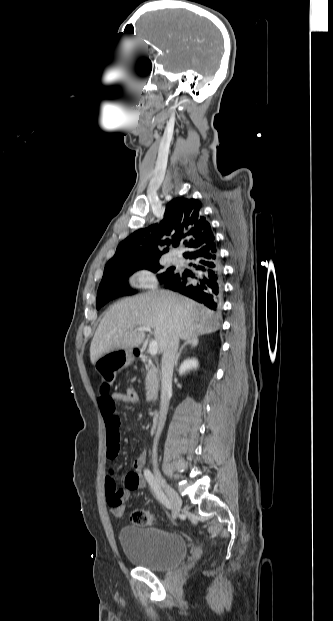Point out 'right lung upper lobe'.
I'll return each instance as SVG.
<instances>
[{"label":"right lung upper lobe","mask_w":333,"mask_h":621,"mask_svg":"<svg viewBox=\"0 0 333 621\" xmlns=\"http://www.w3.org/2000/svg\"><path fill=\"white\" fill-rule=\"evenodd\" d=\"M201 208L197 199L171 200L160 224L139 229L127 237L118 245L115 255L106 266L160 258L168 251V248L159 250L158 246L164 244L177 247L182 243L186 248L184 255L211 247L215 244V237ZM163 236H170L171 239L162 241Z\"/></svg>","instance_id":"obj_1"}]
</instances>
